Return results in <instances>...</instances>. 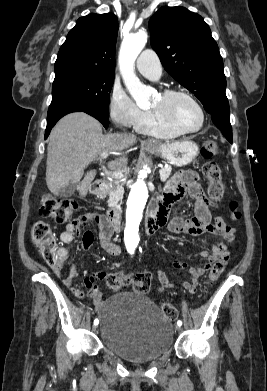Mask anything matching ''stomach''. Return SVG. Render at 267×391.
Masks as SVG:
<instances>
[{"mask_svg":"<svg viewBox=\"0 0 267 391\" xmlns=\"http://www.w3.org/2000/svg\"><path fill=\"white\" fill-rule=\"evenodd\" d=\"M147 150L162 156L170 164L183 167L190 164L199 154L198 145L191 140H182L169 144L154 142Z\"/></svg>","mask_w":267,"mask_h":391,"instance_id":"stomach-1","label":"stomach"}]
</instances>
